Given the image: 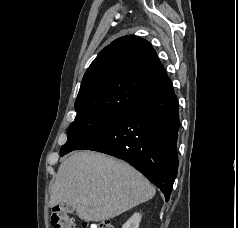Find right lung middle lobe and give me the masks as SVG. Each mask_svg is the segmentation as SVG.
<instances>
[{"label": "right lung middle lobe", "mask_w": 238, "mask_h": 228, "mask_svg": "<svg viewBox=\"0 0 238 228\" xmlns=\"http://www.w3.org/2000/svg\"><path fill=\"white\" fill-rule=\"evenodd\" d=\"M124 109H87L78 111L75 120L70 124L67 133V142L60 149L63 156L91 139L115 121Z\"/></svg>", "instance_id": "1"}]
</instances>
